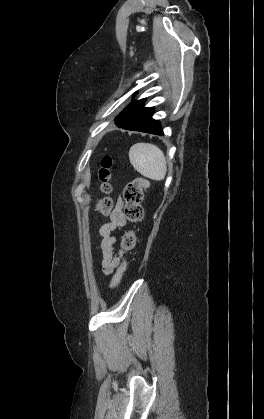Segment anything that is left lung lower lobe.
I'll list each match as a JSON object with an SVG mask.
<instances>
[{
  "mask_svg": "<svg viewBox=\"0 0 264 419\" xmlns=\"http://www.w3.org/2000/svg\"><path fill=\"white\" fill-rule=\"evenodd\" d=\"M145 99L134 102L125 109V114L115 118V124L119 128L164 135L160 123L152 119L153 108H144Z\"/></svg>",
  "mask_w": 264,
  "mask_h": 419,
  "instance_id": "1",
  "label": "left lung lower lobe"
}]
</instances>
